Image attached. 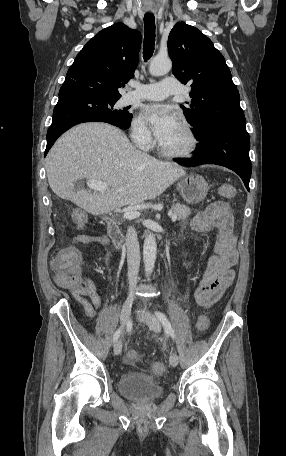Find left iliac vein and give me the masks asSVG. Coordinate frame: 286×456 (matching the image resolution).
<instances>
[{
  "mask_svg": "<svg viewBox=\"0 0 286 456\" xmlns=\"http://www.w3.org/2000/svg\"><path fill=\"white\" fill-rule=\"evenodd\" d=\"M147 324L152 331H154L156 333H159L161 331L160 322L155 316L149 315L148 319H147ZM178 362H179L178 355L175 352L171 353L170 358H169L170 365L172 367H176L178 365Z\"/></svg>",
  "mask_w": 286,
  "mask_h": 456,
  "instance_id": "1",
  "label": "left iliac vein"
}]
</instances>
